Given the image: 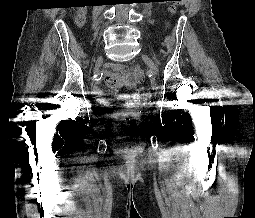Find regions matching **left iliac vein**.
<instances>
[{
    "label": "left iliac vein",
    "mask_w": 255,
    "mask_h": 218,
    "mask_svg": "<svg viewBox=\"0 0 255 218\" xmlns=\"http://www.w3.org/2000/svg\"><path fill=\"white\" fill-rule=\"evenodd\" d=\"M143 60L145 61V63L147 64V66L149 67L150 71L152 72V74L155 76L158 73V69L156 64L154 63V61L146 54L142 55Z\"/></svg>",
    "instance_id": "1"
}]
</instances>
